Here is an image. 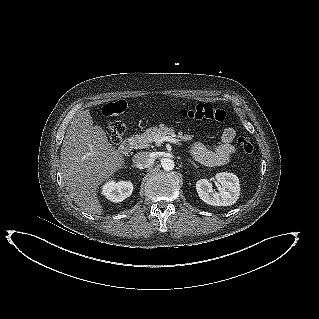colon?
<instances>
[{
  "mask_svg": "<svg viewBox=\"0 0 319 319\" xmlns=\"http://www.w3.org/2000/svg\"><path fill=\"white\" fill-rule=\"evenodd\" d=\"M127 109L124 100L107 103L102 107V113L106 117L117 118ZM180 117L191 120H209L215 122H225L230 120V114L209 103H198L178 111ZM125 124L122 120H113L107 127V134L112 143H118L125 132ZM239 148L246 154H251L254 150L253 143L249 137L239 136L237 139Z\"/></svg>",
  "mask_w": 319,
  "mask_h": 319,
  "instance_id": "obj_1",
  "label": "colon"
}]
</instances>
